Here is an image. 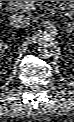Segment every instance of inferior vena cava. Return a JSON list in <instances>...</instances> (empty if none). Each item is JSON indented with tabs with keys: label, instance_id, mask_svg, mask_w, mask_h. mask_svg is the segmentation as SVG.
<instances>
[{
	"label": "inferior vena cava",
	"instance_id": "602c4592",
	"mask_svg": "<svg viewBox=\"0 0 74 122\" xmlns=\"http://www.w3.org/2000/svg\"><path fill=\"white\" fill-rule=\"evenodd\" d=\"M9 20L10 24L15 28H25L30 24V19L22 14H13Z\"/></svg>",
	"mask_w": 74,
	"mask_h": 122
}]
</instances>
